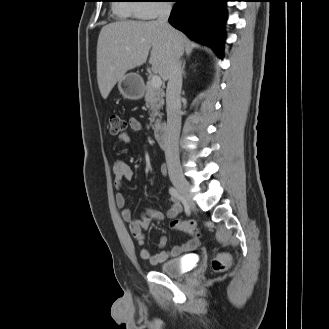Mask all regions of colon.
Returning a JSON list of instances; mask_svg holds the SVG:
<instances>
[{
    "label": "colon",
    "mask_w": 329,
    "mask_h": 329,
    "mask_svg": "<svg viewBox=\"0 0 329 329\" xmlns=\"http://www.w3.org/2000/svg\"><path fill=\"white\" fill-rule=\"evenodd\" d=\"M110 133L112 135H118L125 131V120L119 115H111L109 118ZM170 226L172 229L183 231L193 237H199L200 231L197 223L194 220H178L171 221ZM231 265V257L228 253L218 254L211 262L213 270L217 272H224L229 269Z\"/></svg>",
    "instance_id": "5ec220e1"
}]
</instances>
